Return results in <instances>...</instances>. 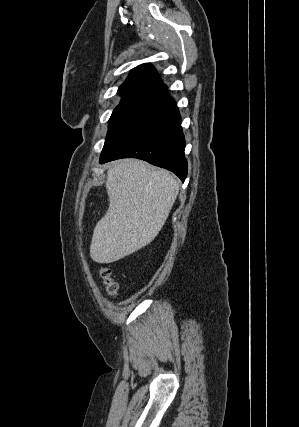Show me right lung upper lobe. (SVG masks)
I'll use <instances>...</instances> for the list:
<instances>
[{
    "mask_svg": "<svg viewBox=\"0 0 299 427\" xmlns=\"http://www.w3.org/2000/svg\"><path fill=\"white\" fill-rule=\"evenodd\" d=\"M118 94L122 99H133L156 103L169 96L167 86L150 64L134 68L125 82L119 87Z\"/></svg>",
    "mask_w": 299,
    "mask_h": 427,
    "instance_id": "cb5924a9",
    "label": "right lung upper lobe"
}]
</instances>
